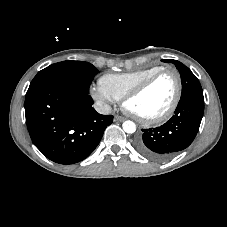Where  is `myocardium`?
<instances>
[{
  "mask_svg": "<svg viewBox=\"0 0 227 227\" xmlns=\"http://www.w3.org/2000/svg\"><path fill=\"white\" fill-rule=\"evenodd\" d=\"M165 73H172L174 75L175 81H176V92H175L174 98H173L172 102L170 103V105L168 106V108L160 115L151 117V118L141 117V116L137 115L136 113L132 112L127 107V103L134 97L140 95L144 90H146L150 86V84L155 79H157L159 76H161ZM181 96H182V80H181V76L178 73V71L173 68H162V69L154 72L153 74L149 75L143 81H141L139 84H137L132 89H130L122 98V107L128 114H130L132 117H134L139 122L146 124V125H156V124H160V123L166 121L173 115V113L175 112V110L180 102Z\"/></svg>",
  "mask_w": 227,
  "mask_h": 227,
  "instance_id": "1",
  "label": "myocardium"
}]
</instances>
